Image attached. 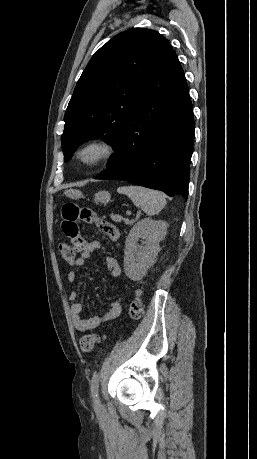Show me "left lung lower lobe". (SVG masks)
Here are the masks:
<instances>
[{
    "label": "left lung lower lobe",
    "mask_w": 257,
    "mask_h": 459,
    "mask_svg": "<svg viewBox=\"0 0 257 459\" xmlns=\"http://www.w3.org/2000/svg\"><path fill=\"white\" fill-rule=\"evenodd\" d=\"M193 107L173 51L126 118L115 155L95 179H115L187 199L194 140Z\"/></svg>",
    "instance_id": "0a47b994"
}]
</instances>
